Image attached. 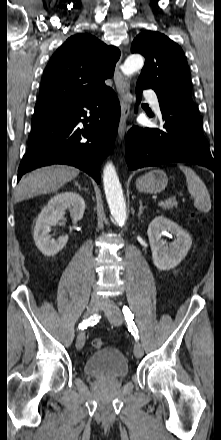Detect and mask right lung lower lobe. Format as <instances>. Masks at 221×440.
<instances>
[{"label": "right lung lower lobe", "instance_id": "obj_1", "mask_svg": "<svg viewBox=\"0 0 221 440\" xmlns=\"http://www.w3.org/2000/svg\"><path fill=\"white\" fill-rule=\"evenodd\" d=\"M119 118L120 104L111 88L96 96L35 106L29 148L17 180L42 166L68 164L99 183L100 166L113 149Z\"/></svg>", "mask_w": 221, "mask_h": 440}]
</instances>
